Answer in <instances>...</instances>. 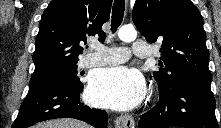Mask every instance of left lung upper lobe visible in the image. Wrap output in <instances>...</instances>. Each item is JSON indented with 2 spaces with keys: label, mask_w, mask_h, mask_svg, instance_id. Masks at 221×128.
<instances>
[{
  "label": "left lung upper lobe",
  "mask_w": 221,
  "mask_h": 128,
  "mask_svg": "<svg viewBox=\"0 0 221 128\" xmlns=\"http://www.w3.org/2000/svg\"><path fill=\"white\" fill-rule=\"evenodd\" d=\"M132 16L148 42L162 41L161 68L154 72L160 95L186 83H211L203 19L190 0H136Z\"/></svg>",
  "instance_id": "5c2ea615"
}]
</instances>
